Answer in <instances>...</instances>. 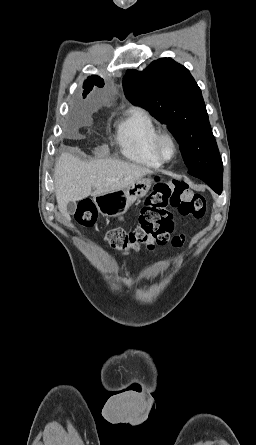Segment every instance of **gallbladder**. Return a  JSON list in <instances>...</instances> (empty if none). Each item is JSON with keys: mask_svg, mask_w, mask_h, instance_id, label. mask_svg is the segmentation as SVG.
<instances>
[{"mask_svg": "<svg viewBox=\"0 0 256 445\" xmlns=\"http://www.w3.org/2000/svg\"><path fill=\"white\" fill-rule=\"evenodd\" d=\"M76 210V203L75 202H69L67 204V212L68 214H73Z\"/></svg>", "mask_w": 256, "mask_h": 445, "instance_id": "1", "label": "gallbladder"}]
</instances>
